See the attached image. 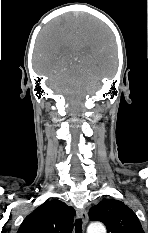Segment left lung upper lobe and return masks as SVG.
I'll use <instances>...</instances> for the list:
<instances>
[{
    "label": "left lung upper lobe",
    "mask_w": 148,
    "mask_h": 233,
    "mask_svg": "<svg viewBox=\"0 0 148 233\" xmlns=\"http://www.w3.org/2000/svg\"><path fill=\"white\" fill-rule=\"evenodd\" d=\"M91 221L103 222L107 233H144L136 214L123 202L106 199L89 211Z\"/></svg>",
    "instance_id": "5c2ea615"
}]
</instances>
